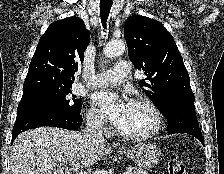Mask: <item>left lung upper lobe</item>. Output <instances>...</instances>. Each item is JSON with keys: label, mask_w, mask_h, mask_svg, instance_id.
<instances>
[{"label": "left lung upper lobe", "mask_w": 224, "mask_h": 174, "mask_svg": "<svg viewBox=\"0 0 224 174\" xmlns=\"http://www.w3.org/2000/svg\"><path fill=\"white\" fill-rule=\"evenodd\" d=\"M124 38L130 60L146 75L139 86L164 115L178 101L195 100L182 56L160 22L140 15L130 16L125 23Z\"/></svg>", "instance_id": "left-lung-upper-lobe-1"}]
</instances>
